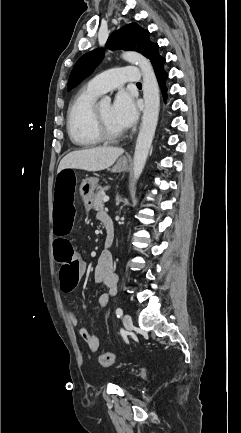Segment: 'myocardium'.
I'll list each match as a JSON object with an SVG mask.
<instances>
[{
	"instance_id": "f54148a6",
	"label": "myocardium",
	"mask_w": 241,
	"mask_h": 433,
	"mask_svg": "<svg viewBox=\"0 0 241 433\" xmlns=\"http://www.w3.org/2000/svg\"><path fill=\"white\" fill-rule=\"evenodd\" d=\"M93 124L97 135L102 141H116L123 136L122 132L113 133L106 128L98 112V106H94L93 109Z\"/></svg>"
}]
</instances>
